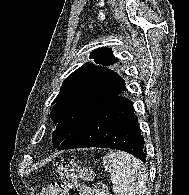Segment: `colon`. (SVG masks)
<instances>
[{"label": "colon", "mask_w": 189, "mask_h": 195, "mask_svg": "<svg viewBox=\"0 0 189 195\" xmlns=\"http://www.w3.org/2000/svg\"><path fill=\"white\" fill-rule=\"evenodd\" d=\"M59 180L47 184L43 188L44 195H81V180L90 178V173L83 166L64 161L58 165ZM107 189L103 182L94 187V195H106Z\"/></svg>", "instance_id": "colon-1"}]
</instances>
